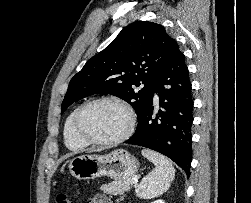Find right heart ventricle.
I'll return each instance as SVG.
<instances>
[{
    "instance_id": "obj_1",
    "label": "right heart ventricle",
    "mask_w": 251,
    "mask_h": 203,
    "mask_svg": "<svg viewBox=\"0 0 251 203\" xmlns=\"http://www.w3.org/2000/svg\"><path fill=\"white\" fill-rule=\"evenodd\" d=\"M77 108H74L66 117L63 125V139L66 147L72 151H80L85 149L88 145L79 140L73 131V119Z\"/></svg>"
}]
</instances>
